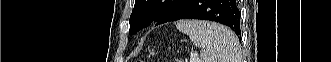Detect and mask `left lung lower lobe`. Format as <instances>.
Here are the masks:
<instances>
[{"instance_id":"1","label":"left lung lower lobe","mask_w":331,"mask_h":62,"mask_svg":"<svg viewBox=\"0 0 331 62\" xmlns=\"http://www.w3.org/2000/svg\"><path fill=\"white\" fill-rule=\"evenodd\" d=\"M185 18L219 22L241 36L240 11L236 0H184L167 22ZM147 26L148 23L141 22L135 31Z\"/></svg>"}]
</instances>
